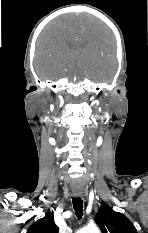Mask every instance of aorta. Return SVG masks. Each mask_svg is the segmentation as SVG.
<instances>
[{
  "label": "aorta",
  "mask_w": 148,
  "mask_h": 233,
  "mask_svg": "<svg viewBox=\"0 0 148 233\" xmlns=\"http://www.w3.org/2000/svg\"><path fill=\"white\" fill-rule=\"evenodd\" d=\"M77 233H100V230L96 225H89L83 227Z\"/></svg>",
  "instance_id": "1"
}]
</instances>
